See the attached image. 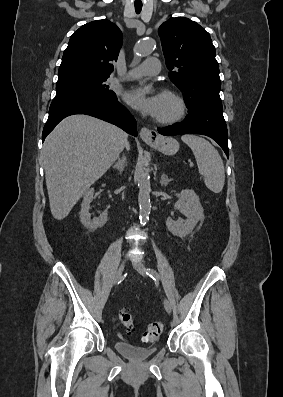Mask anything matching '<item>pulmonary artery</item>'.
I'll return each instance as SVG.
<instances>
[{
	"label": "pulmonary artery",
	"instance_id": "pulmonary-artery-1",
	"mask_svg": "<svg viewBox=\"0 0 283 397\" xmlns=\"http://www.w3.org/2000/svg\"><path fill=\"white\" fill-rule=\"evenodd\" d=\"M160 72V62L155 57L147 58L141 65L130 70L123 79L131 80L142 76H154Z\"/></svg>",
	"mask_w": 283,
	"mask_h": 397
}]
</instances>
